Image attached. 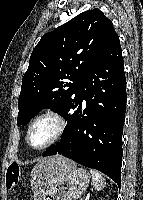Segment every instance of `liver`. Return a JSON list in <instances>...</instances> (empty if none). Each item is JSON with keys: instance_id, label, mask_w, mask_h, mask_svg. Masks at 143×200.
I'll list each match as a JSON object with an SVG mask.
<instances>
[{"instance_id": "6515ba94", "label": "liver", "mask_w": 143, "mask_h": 200, "mask_svg": "<svg viewBox=\"0 0 143 200\" xmlns=\"http://www.w3.org/2000/svg\"><path fill=\"white\" fill-rule=\"evenodd\" d=\"M73 162L61 155L41 159L31 171V187L34 200H42L51 176L59 169Z\"/></svg>"}]
</instances>
